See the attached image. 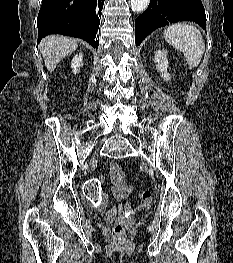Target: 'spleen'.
<instances>
[{
  "label": "spleen",
  "mask_w": 233,
  "mask_h": 263,
  "mask_svg": "<svg viewBox=\"0 0 233 263\" xmlns=\"http://www.w3.org/2000/svg\"><path fill=\"white\" fill-rule=\"evenodd\" d=\"M165 40L184 54L187 64L195 68L205 51L201 32L193 25L176 23L164 31Z\"/></svg>",
  "instance_id": "3e777b00"
}]
</instances>
